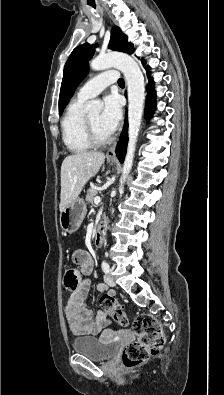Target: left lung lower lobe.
Instances as JSON below:
<instances>
[{
  "label": "left lung lower lobe",
  "instance_id": "1",
  "mask_svg": "<svg viewBox=\"0 0 224 395\" xmlns=\"http://www.w3.org/2000/svg\"><path fill=\"white\" fill-rule=\"evenodd\" d=\"M143 64L145 65L144 61H143ZM148 90H149V93H148V97H147L148 99L146 102V115H147V117H150L155 110V98L156 97H155V92H154V88H153V83L149 84ZM127 130H128V122L126 119L125 126L123 128L120 141L118 142V145L116 147V156L118 157V159L121 163H123L124 157L126 154V147H127V141H128Z\"/></svg>",
  "mask_w": 224,
  "mask_h": 395
}]
</instances>
